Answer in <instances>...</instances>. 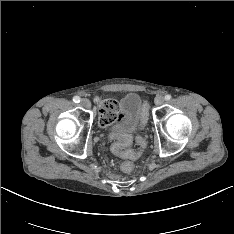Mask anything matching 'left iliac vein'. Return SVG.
<instances>
[{
	"instance_id": "1",
	"label": "left iliac vein",
	"mask_w": 234,
	"mask_h": 234,
	"mask_svg": "<svg viewBox=\"0 0 234 234\" xmlns=\"http://www.w3.org/2000/svg\"><path fill=\"white\" fill-rule=\"evenodd\" d=\"M164 97L163 96H157L156 98H155V104L157 105V106H160V105H162L163 103H164Z\"/></svg>"
}]
</instances>
